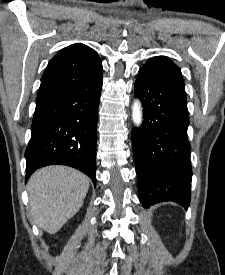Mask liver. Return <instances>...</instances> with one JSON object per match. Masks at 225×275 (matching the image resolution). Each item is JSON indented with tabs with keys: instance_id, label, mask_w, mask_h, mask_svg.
Instances as JSON below:
<instances>
[{
	"instance_id": "liver-1",
	"label": "liver",
	"mask_w": 225,
	"mask_h": 275,
	"mask_svg": "<svg viewBox=\"0 0 225 275\" xmlns=\"http://www.w3.org/2000/svg\"><path fill=\"white\" fill-rule=\"evenodd\" d=\"M89 178L66 166L41 168L30 177L27 189L34 223L55 234L83 205Z\"/></svg>"
}]
</instances>
